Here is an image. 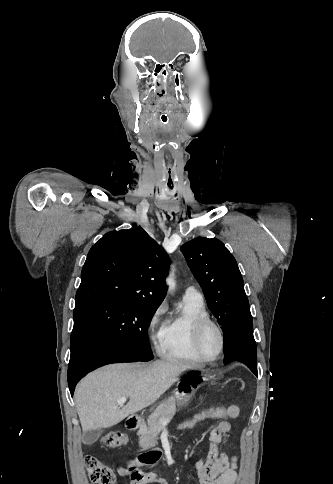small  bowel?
<instances>
[{"instance_id": "1", "label": "small bowel", "mask_w": 333, "mask_h": 484, "mask_svg": "<svg viewBox=\"0 0 333 484\" xmlns=\"http://www.w3.org/2000/svg\"><path fill=\"white\" fill-rule=\"evenodd\" d=\"M226 417L235 418L239 415L236 405L226 407ZM231 426L227 421H221L210 433L211 449L207 463L197 460L195 468L200 484H236L237 457L220 452V445L230 436ZM118 473L130 479L131 484H151L153 482L166 484L157 478L155 472H142L135 468H119Z\"/></svg>"}]
</instances>
